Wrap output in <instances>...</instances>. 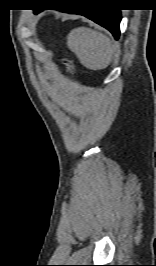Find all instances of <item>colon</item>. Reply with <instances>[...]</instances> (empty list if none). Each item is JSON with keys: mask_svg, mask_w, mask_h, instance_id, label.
I'll list each match as a JSON object with an SVG mask.
<instances>
[{"mask_svg": "<svg viewBox=\"0 0 156 266\" xmlns=\"http://www.w3.org/2000/svg\"><path fill=\"white\" fill-rule=\"evenodd\" d=\"M63 64L65 65V67L67 68L69 73H73V69H72V61L69 57H64L63 58Z\"/></svg>", "mask_w": 156, "mask_h": 266, "instance_id": "colon-1", "label": "colon"}]
</instances>
